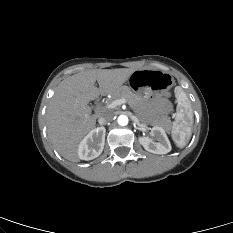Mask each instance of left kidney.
<instances>
[{"mask_svg": "<svg viewBox=\"0 0 233 233\" xmlns=\"http://www.w3.org/2000/svg\"><path fill=\"white\" fill-rule=\"evenodd\" d=\"M151 135L155 137L157 142L148 137H140L139 142L144 149L154 154H166L171 151V144L165 130L162 127L154 126L151 129Z\"/></svg>", "mask_w": 233, "mask_h": 233, "instance_id": "1", "label": "left kidney"}]
</instances>
